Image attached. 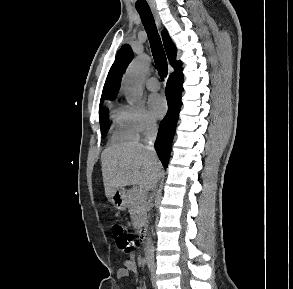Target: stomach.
Wrapping results in <instances>:
<instances>
[{
    "instance_id": "1",
    "label": "stomach",
    "mask_w": 293,
    "mask_h": 289,
    "mask_svg": "<svg viewBox=\"0 0 293 289\" xmlns=\"http://www.w3.org/2000/svg\"><path fill=\"white\" fill-rule=\"evenodd\" d=\"M110 202L114 205V207L119 210L123 211L126 209L127 206V194L124 188H118L111 196Z\"/></svg>"
}]
</instances>
